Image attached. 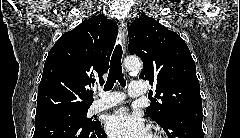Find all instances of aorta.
Wrapping results in <instances>:
<instances>
[{"instance_id":"obj_1","label":"aorta","mask_w":240,"mask_h":138,"mask_svg":"<svg viewBox=\"0 0 240 138\" xmlns=\"http://www.w3.org/2000/svg\"><path fill=\"white\" fill-rule=\"evenodd\" d=\"M124 64H125V68L131 73H138L142 69V63L136 57L126 58Z\"/></svg>"}]
</instances>
